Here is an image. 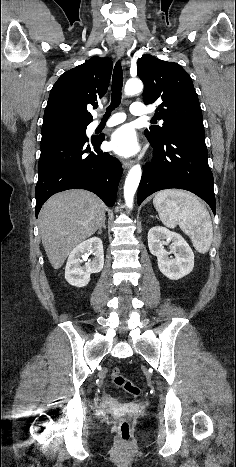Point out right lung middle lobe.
Returning a JSON list of instances; mask_svg holds the SVG:
<instances>
[{
  "label": "right lung middle lobe",
  "instance_id": "dd1d6c3e",
  "mask_svg": "<svg viewBox=\"0 0 236 467\" xmlns=\"http://www.w3.org/2000/svg\"><path fill=\"white\" fill-rule=\"evenodd\" d=\"M86 126L84 127H65V128H58L52 129L47 131H42V139L41 143L67 138V137H83L87 138L86 136Z\"/></svg>",
  "mask_w": 236,
  "mask_h": 467
}]
</instances>
